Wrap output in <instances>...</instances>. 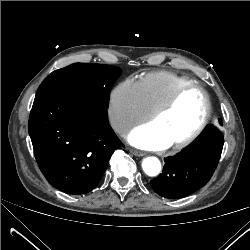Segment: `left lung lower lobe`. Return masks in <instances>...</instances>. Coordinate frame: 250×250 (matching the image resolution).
<instances>
[{"label": "left lung lower lobe", "mask_w": 250, "mask_h": 250, "mask_svg": "<svg viewBox=\"0 0 250 250\" xmlns=\"http://www.w3.org/2000/svg\"><path fill=\"white\" fill-rule=\"evenodd\" d=\"M224 144L219 129L207 126L185 150L165 159L162 173L150 181L162 197L177 199L204 186L215 171Z\"/></svg>", "instance_id": "1"}]
</instances>
